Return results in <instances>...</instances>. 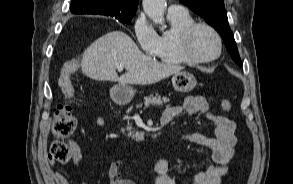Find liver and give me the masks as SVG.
<instances>
[{"label":"liver","instance_id":"liver-1","mask_svg":"<svg viewBox=\"0 0 293 184\" xmlns=\"http://www.w3.org/2000/svg\"><path fill=\"white\" fill-rule=\"evenodd\" d=\"M118 66L127 69L120 77L116 73ZM80 67L84 75L94 80L142 85L159 82L183 69L144 55L122 31L109 32L94 41L85 49Z\"/></svg>","mask_w":293,"mask_h":184}]
</instances>
